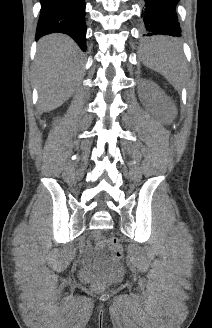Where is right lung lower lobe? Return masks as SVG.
Instances as JSON below:
<instances>
[{"mask_svg": "<svg viewBox=\"0 0 212 328\" xmlns=\"http://www.w3.org/2000/svg\"><path fill=\"white\" fill-rule=\"evenodd\" d=\"M36 38L60 32L71 36L86 50L85 0H40Z\"/></svg>", "mask_w": 212, "mask_h": 328, "instance_id": "obj_1", "label": "right lung lower lobe"}]
</instances>
